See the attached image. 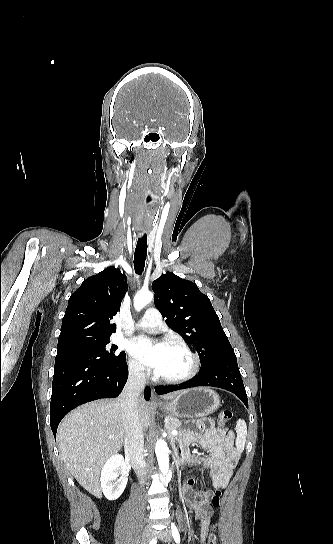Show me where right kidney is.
<instances>
[{
    "instance_id": "1",
    "label": "right kidney",
    "mask_w": 333,
    "mask_h": 544,
    "mask_svg": "<svg viewBox=\"0 0 333 544\" xmlns=\"http://www.w3.org/2000/svg\"><path fill=\"white\" fill-rule=\"evenodd\" d=\"M127 467L122 455L111 456L101 471V489L108 500H116L127 485ZM120 476V477H119Z\"/></svg>"
}]
</instances>
